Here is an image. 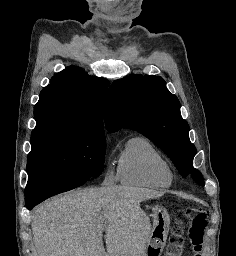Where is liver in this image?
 <instances>
[{"label":"liver","instance_id":"obj_1","mask_svg":"<svg viewBox=\"0 0 236 256\" xmlns=\"http://www.w3.org/2000/svg\"><path fill=\"white\" fill-rule=\"evenodd\" d=\"M163 194L146 188L102 186L51 198L33 214L37 254L144 256L149 226L140 202Z\"/></svg>","mask_w":236,"mask_h":256}]
</instances>
